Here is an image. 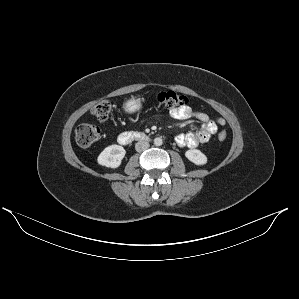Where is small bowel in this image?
<instances>
[{"mask_svg": "<svg viewBox=\"0 0 299 299\" xmlns=\"http://www.w3.org/2000/svg\"><path fill=\"white\" fill-rule=\"evenodd\" d=\"M169 113L173 118L178 120L196 119L202 123L199 131L176 136L175 141L181 147L194 148L204 144L210 140L219 128L225 125L223 118L212 121L206 113L197 111L188 105L170 109Z\"/></svg>", "mask_w": 299, "mask_h": 299, "instance_id": "c3829d8e", "label": "small bowel"}]
</instances>
